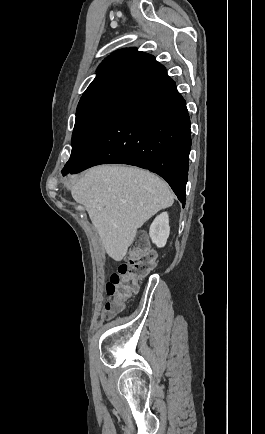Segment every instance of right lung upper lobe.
Segmentation results:
<instances>
[{"mask_svg": "<svg viewBox=\"0 0 265 434\" xmlns=\"http://www.w3.org/2000/svg\"><path fill=\"white\" fill-rule=\"evenodd\" d=\"M154 62V56L140 52L136 48L121 49L112 53L99 65L93 82L120 74L136 75Z\"/></svg>", "mask_w": 265, "mask_h": 434, "instance_id": "right-lung-upper-lobe-1", "label": "right lung upper lobe"}]
</instances>
